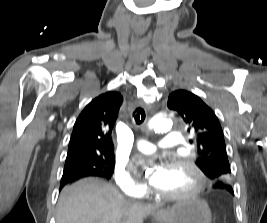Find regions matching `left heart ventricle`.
Instances as JSON below:
<instances>
[{"mask_svg": "<svg viewBox=\"0 0 267 223\" xmlns=\"http://www.w3.org/2000/svg\"><path fill=\"white\" fill-rule=\"evenodd\" d=\"M195 182V176L189 168L184 166L166 167L165 177L155 188L162 193H184L190 191Z\"/></svg>", "mask_w": 267, "mask_h": 223, "instance_id": "left-heart-ventricle-1", "label": "left heart ventricle"}]
</instances>
